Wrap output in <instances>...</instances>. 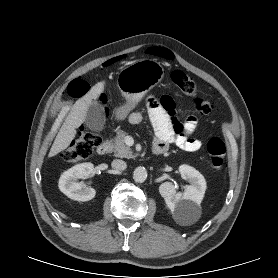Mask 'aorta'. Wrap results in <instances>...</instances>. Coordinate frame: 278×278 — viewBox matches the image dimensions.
I'll list each match as a JSON object with an SVG mask.
<instances>
[{"instance_id":"obj_1","label":"aorta","mask_w":278,"mask_h":278,"mask_svg":"<svg viewBox=\"0 0 278 278\" xmlns=\"http://www.w3.org/2000/svg\"><path fill=\"white\" fill-rule=\"evenodd\" d=\"M147 178V170L145 167L139 166L133 172V179L135 182L142 183Z\"/></svg>"}]
</instances>
